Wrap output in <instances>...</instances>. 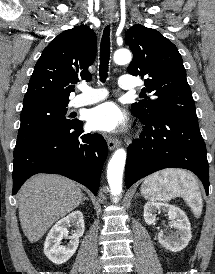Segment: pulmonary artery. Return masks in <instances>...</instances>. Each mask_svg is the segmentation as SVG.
Listing matches in <instances>:
<instances>
[{"label": "pulmonary artery", "instance_id": "e3ab8cb5", "mask_svg": "<svg viewBox=\"0 0 215 274\" xmlns=\"http://www.w3.org/2000/svg\"><path fill=\"white\" fill-rule=\"evenodd\" d=\"M119 87L124 90H132L135 88V81L131 76L122 75L119 78ZM81 94L77 95L72 101L71 106L74 108L82 107L97 103L104 100L108 93L103 88H93L87 85L80 86Z\"/></svg>", "mask_w": 215, "mask_h": 274}]
</instances>
